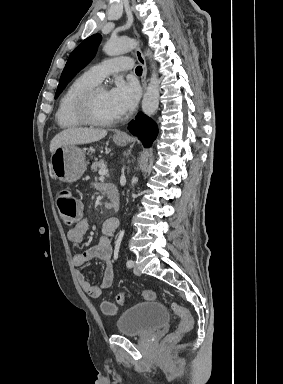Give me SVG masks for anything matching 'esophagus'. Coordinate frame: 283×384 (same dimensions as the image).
<instances>
[{"mask_svg":"<svg viewBox=\"0 0 283 384\" xmlns=\"http://www.w3.org/2000/svg\"><path fill=\"white\" fill-rule=\"evenodd\" d=\"M135 55H136V58L138 60V62L140 63L141 67H142V77H141V83H142V86H143V89L146 90V87H147V81H146V76H147V66H146V60L140 50L139 47H136L135 48ZM116 136L118 137H123V138H126V134L124 132H119L117 131Z\"/></svg>","mask_w":283,"mask_h":384,"instance_id":"esophagus-1","label":"esophagus"}]
</instances>
